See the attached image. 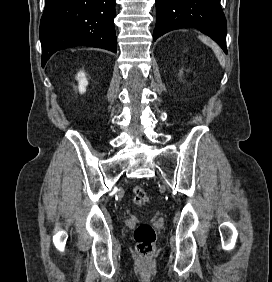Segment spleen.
I'll return each instance as SVG.
<instances>
[{
    "instance_id": "obj_1",
    "label": "spleen",
    "mask_w": 272,
    "mask_h": 282,
    "mask_svg": "<svg viewBox=\"0 0 272 282\" xmlns=\"http://www.w3.org/2000/svg\"><path fill=\"white\" fill-rule=\"evenodd\" d=\"M199 39L206 44L207 46L211 47L212 50L214 51L217 59L219 60L220 64L224 67L225 66V60H224V56L222 54V51L220 49V47L214 43L213 41H211L209 38L205 37V36H199Z\"/></svg>"
}]
</instances>
